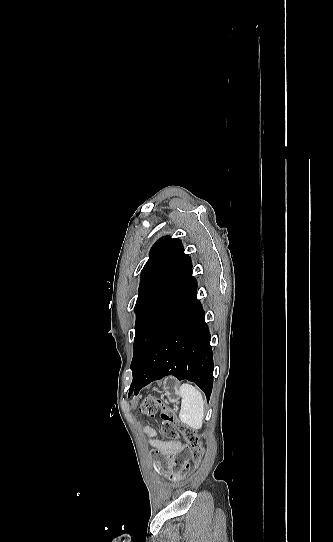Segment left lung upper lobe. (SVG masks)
<instances>
[{
  "label": "left lung upper lobe",
  "instance_id": "5c2ea615",
  "mask_svg": "<svg viewBox=\"0 0 333 542\" xmlns=\"http://www.w3.org/2000/svg\"><path fill=\"white\" fill-rule=\"evenodd\" d=\"M195 285L192 261L184 253L181 240L164 236L155 242L141 271L135 304L133 376L139 372L155 335Z\"/></svg>",
  "mask_w": 333,
  "mask_h": 542
}]
</instances>
